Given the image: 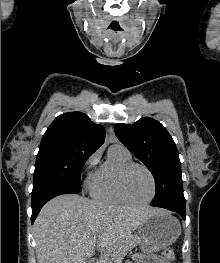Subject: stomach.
Masks as SVG:
<instances>
[{
	"label": "stomach",
	"instance_id": "0dacf381",
	"mask_svg": "<svg viewBox=\"0 0 220 263\" xmlns=\"http://www.w3.org/2000/svg\"><path fill=\"white\" fill-rule=\"evenodd\" d=\"M180 234L179 221L169 212L160 210L139 226V244L143 252H155L170 246Z\"/></svg>",
	"mask_w": 220,
	"mask_h": 263
}]
</instances>
